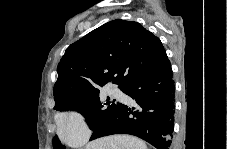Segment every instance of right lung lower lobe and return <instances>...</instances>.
I'll return each instance as SVG.
<instances>
[{
  "label": "right lung lower lobe",
  "instance_id": "right-lung-lower-lobe-1",
  "mask_svg": "<svg viewBox=\"0 0 227 149\" xmlns=\"http://www.w3.org/2000/svg\"><path fill=\"white\" fill-rule=\"evenodd\" d=\"M123 92L136 106L121 105L93 130L90 140L113 134L137 136L157 149H169L174 130V81L170 61L135 79Z\"/></svg>",
  "mask_w": 227,
  "mask_h": 149
}]
</instances>
